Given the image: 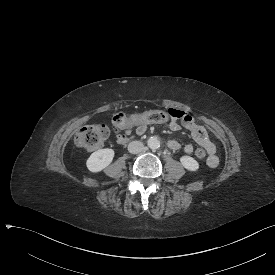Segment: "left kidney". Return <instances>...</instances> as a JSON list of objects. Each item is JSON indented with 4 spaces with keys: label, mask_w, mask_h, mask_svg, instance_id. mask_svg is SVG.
I'll list each match as a JSON object with an SVG mask.
<instances>
[{
    "label": "left kidney",
    "mask_w": 275,
    "mask_h": 275,
    "mask_svg": "<svg viewBox=\"0 0 275 275\" xmlns=\"http://www.w3.org/2000/svg\"><path fill=\"white\" fill-rule=\"evenodd\" d=\"M180 162L184 168L190 171H196L199 168L198 162L190 156H182Z\"/></svg>",
    "instance_id": "1"
}]
</instances>
